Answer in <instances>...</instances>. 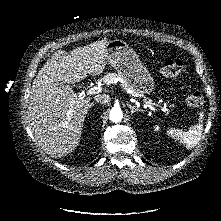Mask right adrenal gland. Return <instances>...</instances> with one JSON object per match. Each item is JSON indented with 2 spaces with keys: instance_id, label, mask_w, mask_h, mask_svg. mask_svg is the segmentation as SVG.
Listing matches in <instances>:
<instances>
[{
  "instance_id": "2a0ac1e0",
  "label": "right adrenal gland",
  "mask_w": 221,
  "mask_h": 221,
  "mask_svg": "<svg viewBox=\"0 0 221 221\" xmlns=\"http://www.w3.org/2000/svg\"><path fill=\"white\" fill-rule=\"evenodd\" d=\"M93 105H94V103L92 102V103L90 104V108H91Z\"/></svg>"
}]
</instances>
